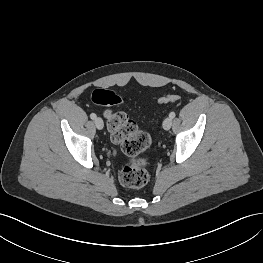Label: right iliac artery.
<instances>
[{"label": "right iliac artery", "mask_w": 263, "mask_h": 263, "mask_svg": "<svg viewBox=\"0 0 263 263\" xmlns=\"http://www.w3.org/2000/svg\"><path fill=\"white\" fill-rule=\"evenodd\" d=\"M90 118L94 120V119L96 118V114L91 113V114H90Z\"/></svg>", "instance_id": "right-iliac-artery-1"}]
</instances>
